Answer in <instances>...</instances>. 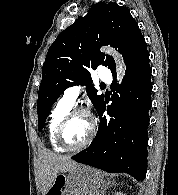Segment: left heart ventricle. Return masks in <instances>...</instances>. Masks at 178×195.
<instances>
[{
	"label": "left heart ventricle",
	"instance_id": "obj_1",
	"mask_svg": "<svg viewBox=\"0 0 178 195\" xmlns=\"http://www.w3.org/2000/svg\"><path fill=\"white\" fill-rule=\"evenodd\" d=\"M90 132V121L86 116L73 118L66 126L64 141L69 146H78L88 137Z\"/></svg>",
	"mask_w": 178,
	"mask_h": 195
}]
</instances>
